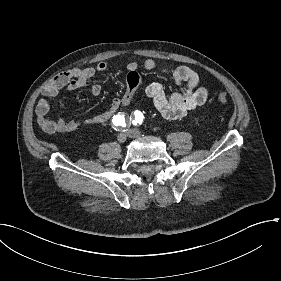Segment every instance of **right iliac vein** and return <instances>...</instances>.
Returning a JSON list of instances; mask_svg holds the SVG:
<instances>
[{
	"mask_svg": "<svg viewBox=\"0 0 281 281\" xmlns=\"http://www.w3.org/2000/svg\"><path fill=\"white\" fill-rule=\"evenodd\" d=\"M127 139V132H122L117 136V141L119 143H124Z\"/></svg>",
	"mask_w": 281,
	"mask_h": 281,
	"instance_id": "right-iliac-vein-1",
	"label": "right iliac vein"
}]
</instances>
